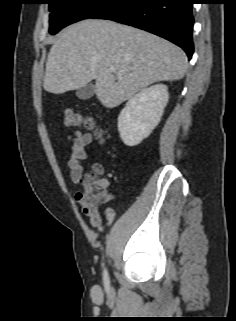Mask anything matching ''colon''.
Listing matches in <instances>:
<instances>
[{
    "mask_svg": "<svg viewBox=\"0 0 236 321\" xmlns=\"http://www.w3.org/2000/svg\"><path fill=\"white\" fill-rule=\"evenodd\" d=\"M65 124L69 127L83 126L95 132L100 138L103 134L102 129L96 125L91 117H83L79 113L67 109L65 111ZM102 173V168L94 165L91 171L85 176L82 187L77 190L76 194L85 202L92 206L99 207L109 200L108 193L104 186L100 183L98 176Z\"/></svg>",
    "mask_w": 236,
    "mask_h": 321,
    "instance_id": "obj_1",
    "label": "colon"
}]
</instances>
